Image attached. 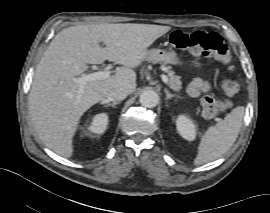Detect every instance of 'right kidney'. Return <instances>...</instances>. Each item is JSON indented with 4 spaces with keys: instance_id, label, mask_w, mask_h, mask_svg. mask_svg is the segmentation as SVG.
I'll use <instances>...</instances> for the list:
<instances>
[{
    "instance_id": "ca27d5eb",
    "label": "right kidney",
    "mask_w": 270,
    "mask_h": 213,
    "mask_svg": "<svg viewBox=\"0 0 270 213\" xmlns=\"http://www.w3.org/2000/svg\"><path fill=\"white\" fill-rule=\"evenodd\" d=\"M108 124V115L100 113L93 117L91 124L88 126V131L95 134H101L106 130Z\"/></svg>"
}]
</instances>
